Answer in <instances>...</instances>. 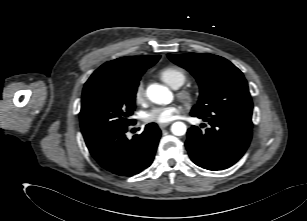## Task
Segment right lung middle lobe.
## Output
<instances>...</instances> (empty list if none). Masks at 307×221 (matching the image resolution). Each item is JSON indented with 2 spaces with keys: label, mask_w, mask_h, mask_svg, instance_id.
Masks as SVG:
<instances>
[{
  "label": "right lung middle lobe",
  "mask_w": 307,
  "mask_h": 221,
  "mask_svg": "<svg viewBox=\"0 0 307 221\" xmlns=\"http://www.w3.org/2000/svg\"><path fill=\"white\" fill-rule=\"evenodd\" d=\"M140 76L116 75L88 79L85 83L80 126L86 144L107 132L131 125Z\"/></svg>",
  "instance_id": "dd1d6c3e"
}]
</instances>
